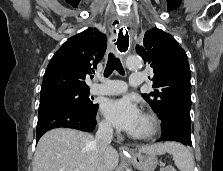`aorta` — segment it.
I'll return each instance as SVG.
<instances>
[{"label": "aorta", "instance_id": "762f6f07", "mask_svg": "<svg viewBox=\"0 0 223 171\" xmlns=\"http://www.w3.org/2000/svg\"><path fill=\"white\" fill-rule=\"evenodd\" d=\"M142 65V60L140 57L138 56H129L126 59V66L127 68H129L130 70H136L139 69Z\"/></svg>", "mask_w": 223, "mask_h": 171}]
</instances>
